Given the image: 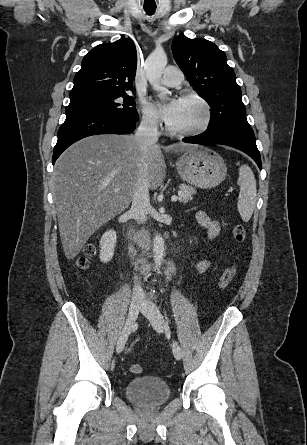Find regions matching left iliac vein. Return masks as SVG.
Segmentation results:
<instances>
[{
	"label": "left iliac vein",
	"instance_id": "obj_1",
	"mask_svg": "<svg viewBox=\"0 0 307 445\" xmlns=\"http://www.w3.org/2000/svg\"><path fill=\"white\" fill-rule=\"evenodd\" d=\"M141 312L148 318L153 329L156 332L162 333L164 331L166 324L162 313L160 312L159 308L155 305V303L151 301H144L142 303ZM172 351L174 357L177 360H180L182 358V350L178 342L176 341L173 342Z\"/></svg>",
	"mask_w": 307,
	"mask_h": 445
}]
</instances>
